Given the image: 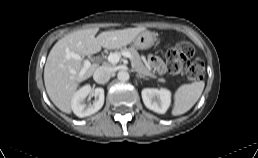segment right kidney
Segmentation results:
<instances>
[{
  "label": "right kidney",
  "mask_w": 258,
  "mask_h": 158,
  "mask_svg": "<svg viewBox=\"0 0 258 158\" xmlns=\"http://www.w3.org/2000/svg\"><path fill=\"white\" fill-rule=\"evenodd\" d=\"M95 97L92 104H85L86 97ZM104 104V89L91 88L90 85H85L80 88L72 97L71 108L74 114L80 118L90 116L99 111Z\"/></svg>",
  "instance_id": "ca27d5eb"
}]
</instances>
